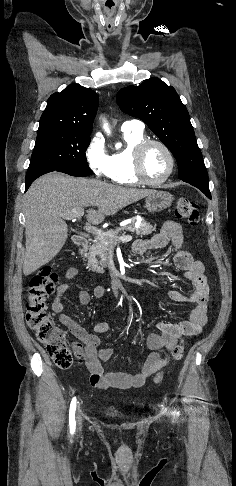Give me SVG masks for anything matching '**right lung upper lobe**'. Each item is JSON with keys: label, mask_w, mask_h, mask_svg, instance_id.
<instances>
[{"label": "right lung upper lobe", "mask_w": 236, "mask_h": 486, "mask_svg": "<svg viewBox=\"0 0 236 486\" xmlns=\"http://www.w3.org/2000/svg\"><path fill=\"white\" fill-rule=\"evenodd\" d=\"M97 108L98 95L93 90L71 84L49 97L38 130L91 133Z\"/></svg>", "instance_id": "obj_1"}]
</instances>
